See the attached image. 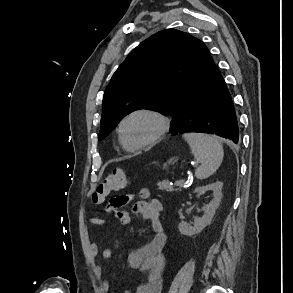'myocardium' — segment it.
<instances>
[{"label": "myocardium", "mask_w": 293, "mask_h": 293, "mask_svg": "<svg viewBox=\"0 0 293 293\" xmlns=\"http://www.w3.org/2000/svg\"><path fill=\"white\" fill-rule=\"evenodd\" d=\"M137 115H145V116L152 117L157 122V130L154 133V135L148 140L136 145H130L125 140L123 129L126 122L132 117ZM168 130H169L168 119L162 113L152 109H148V108H140V109L131 111L121 120L118 127L120 142L123 145V147L128 151L140 150L157 143L159 140H161L164 137V135L167 133Z\"/></svg>", "instance_id": "f54148a6"}]
</instances>
